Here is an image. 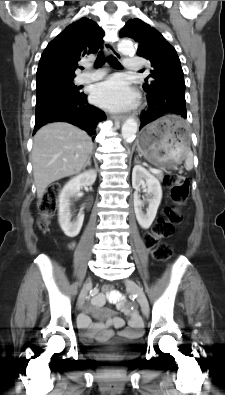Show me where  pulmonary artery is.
Masks as SVG:
<instances>
[{"instance_id":"pulmonary-artery-1","label":"pulmonary artery","mask_w":225,"mask_h":395,"mask_svg":"<svg viewBox=\"0 0 225 395\" xmlns=\"http://www.w3.org/2000/svg\"><path fill=\"white\" fill-rule=\"evenodd\" d=\"M124 66L127 70L136 71L141 67V62L138 57H128L124 60ZM103 71L87 72L78 77L79 83H90L103 78Z\"/></svg>"}]
</instances>
